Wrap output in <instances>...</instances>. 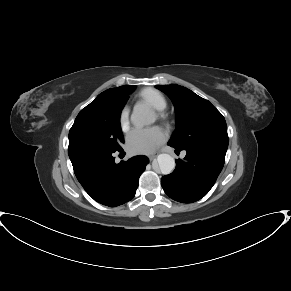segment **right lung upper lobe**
Segmentation results:
<instances>
[{
  "label": "right lung upper lobe",
  "mask_w": 291,
  "mask_h": 291,
  "mask_svg": "<svg viewBox=\"0 0 291 291\" xmlns=\"http://www.w3.org/2000/svg\"><path fill=\"white\" fill-rule=\"evenodd\" d=\"M134 86H120L118 88H111V89H108L106 91H109V90H113V89H118V90H130V89H133Z\"/></svg>",
  "instance_id": "right-lung-upper-lobe-1"
}]
</instances>
